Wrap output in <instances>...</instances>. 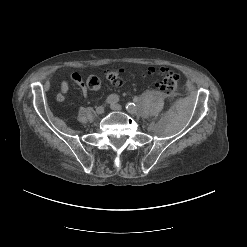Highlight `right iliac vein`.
I'll use <instances>...</instances> for the list:
<instances>
[{
	"label": "right iliac vein",
	"mask_w": 247,
	"mask_h": 247,
	"mask_svg": "<svg viewBox=\"0 0 247 247\" xmlns=\"http://www.w3.org/2000/svg\"><path fill=\"white\" fill-rule=\"evenodd\" d=\"M104 110H105L104 106H98L96 108L95 112H96V114L101 115L104 113Z\"/></svg>",
	"instance_id": "63e3f726"
}]
</instances>
